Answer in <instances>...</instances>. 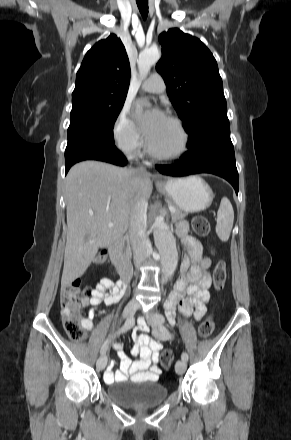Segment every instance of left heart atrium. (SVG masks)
<instances>
[{"label": "left heart atrium", "mask_w": 291, "mask_h": 440, "mask_svg": "<svg viewBox=\"0 0 291 440\" xmlns=\"http://www.w3.org/2000/svg\"><path fill=\"white\" fill-rule=\"evenodd\" d=\"M164 118L159 109H152L139 117L141 128L147 138L151 137L156 125Z\"/></svg>", "instance_id": "left-heart-atrium-1"}]
</instances>
